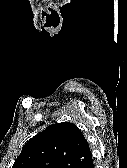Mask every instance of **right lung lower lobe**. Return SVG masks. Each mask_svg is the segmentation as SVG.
<instances>
[{
  "instance_id": "1",
  "label": "right lung lower lobe",
  "mask_w": 127,
  "mask_h": 168,
  "mask_svg": "<svg viewBox=\"0 0 127 168\" xmlns=\"http://www.w3.org/2000/svg\"><path fill=\"white\" fill-rule=\"evenodd\" d=\"M75 168H94L92 158L87 159L84 162L78 164Z\"/></svg>"
}]
</instances>
